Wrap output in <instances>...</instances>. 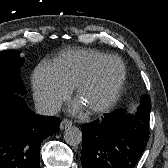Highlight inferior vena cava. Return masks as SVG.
Segmentation results:
<instances>
[{
    "mask_svg": "<svg viewBox=\"0 0 168 168\" xmlns=\"http://www.w3.org/2000/svg\"><path fill=\"white\" fill-rule=\"evenodd\" d=\"M37 114L45 116H54L60 110V106L53 102H37L35 104Z\"/></svg>",
    "mask_w": 168,
    "mask_h": 168,
    "instance_id": "602c4592",
    "label": "inferior vena cava"
}]
</instances>
